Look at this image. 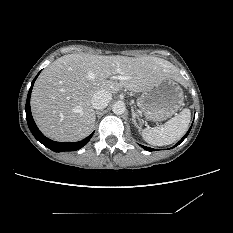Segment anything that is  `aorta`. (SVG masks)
Here are the masks:
<instances>
[{
	"instance_id": "obj_1",
	"label": "aorta",
	"mask_w": 233,
	"mask_h": 233,
	"mask_svg": "<svg viewBox=\"0 0 233 233\" xmlns=\"http://www.w3.org/2000/svg\"><path fill=\"white\" fill-rule=\"evenodd\" d=\"M126 110V106L124 104V102L122 101H118L113 105L112 111L114 114L116 115H121L125 112Z\"/></svg>"
}]
</instances>
